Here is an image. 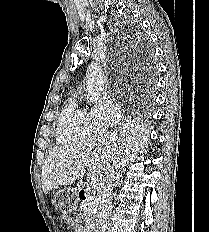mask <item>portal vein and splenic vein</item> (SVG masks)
<instances>
[{
  "mask_svg": "<svg viewBox=\"0 0 209 232\" xmlns=\"http://www.w3.org/2000/svg\"><path fill=\"white\" fill-rule=\"evenodd\" d=\"M90 178H91V181H90L91 188L96 189L98 185V174L93 173L91 174Z\"/></svg>",
  "mask_w": 209,
  "mask_h": 232,
  "instance_id": "18ae733b",
  "label": "portal vein and splenic vein"
}]
</instances>
